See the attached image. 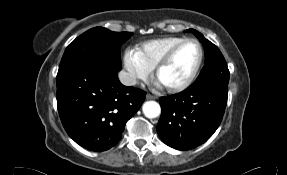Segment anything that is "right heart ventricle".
<instances>
[{"label": "right heart ventricle", "instance_id": "right-heart-ventricle-1", "mask_svg": "<svg viewBox=\"0 0 287 175\" xmlns=\"http://www.w3.org/2000/svg\"><path fill=\"white\" fill-rule=\"evenodd\" d=\"M184 39L185 38L182 37L169 36L149 40L139 44L136 48V52L142 62L153 70L166 53Z\"/></svg>", "mask_w": 287, "mask_h": 175}]
</instances>
